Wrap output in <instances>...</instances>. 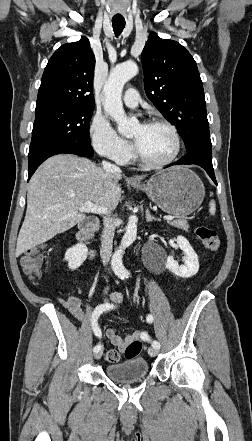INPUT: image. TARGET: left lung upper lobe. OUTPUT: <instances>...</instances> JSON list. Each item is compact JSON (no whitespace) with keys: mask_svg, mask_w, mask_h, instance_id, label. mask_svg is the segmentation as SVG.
Segmentation results:
<instances>
[{"mask_svg":"<svg viewBox=\"0 0 252 441\" xmlns=\"http://www.w3.org/2000/svg\"><path fill=\"white\" fill-rule=\"evenodd\" d=\"M141 60L146 95L176 126L186 151H212L203 85L190 53L152 32Z\"/></svg>","mask_w":252,"mask_h":441,"instance_id":"left-lung-upper-lobe-1","label":"left lung upper lobe"}]
</instances>
